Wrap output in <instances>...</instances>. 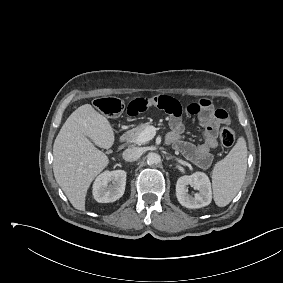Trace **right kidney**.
<instances>
[{"instance_id": "right-kidney-1", "label": "right kidney", "mask_w": 283, "mask_h": 283, "mask_svg": "<svg viewBox=\"0 0 283 283\" xmlns=\"http://www.w3.org/2000/svg\"><path fill=\"white\" fill-rule=\"evenodd\" d=\"M125 185L126 172L124 170L105 171L94 181V199L99 203L114 202L123 196Z\"/></svg>"}]
</instances>
